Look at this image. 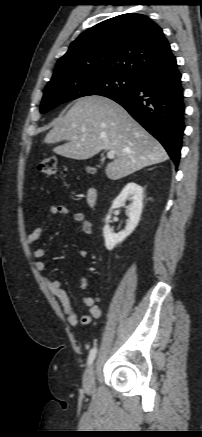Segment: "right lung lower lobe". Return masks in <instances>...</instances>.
<instances>
[{
	"instance_id": "right-lung-lower-lobe-1",
	"label": "right lung lower lobe",
	"mask_w": 202,
	"mask_h": 437,
	"mask_svg": "<svg viewBox=\"0 0 202 437\" xmlns=\"http://www.w3.org/2000/svg\"><path fill=\"white\" fill-rule=\"evenodd\" d=\"M123 106L164 146L178 165L184 124L181 73L174 58L137 78L128 91L108 97Z\"/></svg>"
}]
</instances>
